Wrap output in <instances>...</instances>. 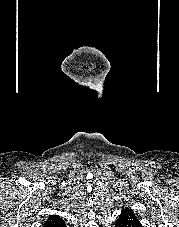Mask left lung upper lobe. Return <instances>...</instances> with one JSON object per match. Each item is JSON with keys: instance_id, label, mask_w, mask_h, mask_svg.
I'll return each instance as SVG.
<instances>
[{"instance_id": "left-lung-upper-lobe-1", "label": "left lung upper lobe", "mask_w": 179, "mask_h": 227, "mask_svg": "<svg viewBox=\"0 0 179 227\" xmlns=\"http://www.w3.org/2000/svg\"><path fill=\"white\" fill-rule=\"evenodd\" d=\"M116 225L117 227H137L140 223L133 210L124 209L122 210Z\"/></svg>"}]
</instances>
